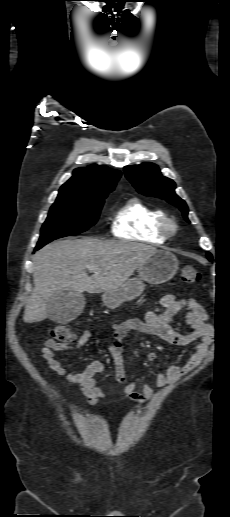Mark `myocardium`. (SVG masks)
<instances>
[{
	"instance_id": "f54148a6",
	"label": "myocardium",
	"mask_w": 230,
	"mask_h": 517,
	"mask_svg": "<svg viewBox=\"0 0 230 517\" xmlns=\"http://www.w3.org/2000/svg\"><path fill=\"white\" fill-rule=\"evenodd\" d=\"M161 229L167 237H170L178 231V224L173 218L165 216L161 222Z\"/></svg>"
}]
</instances>
